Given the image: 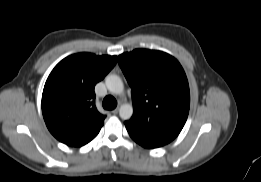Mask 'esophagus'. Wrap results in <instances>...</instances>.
<instances>
[{
    "label": "esophagus",
    "mask_w": 261,
    "mask_h": 182,
    "mask_svg": "<svg viewBox=\"0 0 261 182\" xmlns=\"http://www.w3.org/2000/svg\"><path fill=\"white\" fill-rule=\"evenodd\" d=\"M111 113L116 115L118 113V108H115L114 110H112Z\"/></svg>",
    "instance_id": "1"
}]
</instances>
